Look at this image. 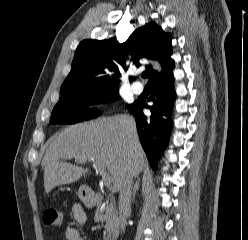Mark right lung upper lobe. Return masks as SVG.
<instances>
[{
  "instance_id": "obj_1",
  "label": "right lung upper lobe",
  "mask_w": 248,
  "mask_h": 240,
  "mask_svg": "<svg viewBox=\"0 0 248 240\" xmlns=\"http://www.w3.org/2000/svg\"><path fill=\"white\" fill-rule=\"evenodd\" d=\"M128 54L136 59V66H140V58L160 63V72L154 70L152 65L146 66L151 72V83L172 74L174 61L170 58L171 34L165 33L153 21L135 30L123 44H119L116 38L83 40L76 49L71 71L63 82L61 91L75 88L118 89V78L121 76L119 69L120 66L126 69Z\"/></svg>"
}]
</instances>
